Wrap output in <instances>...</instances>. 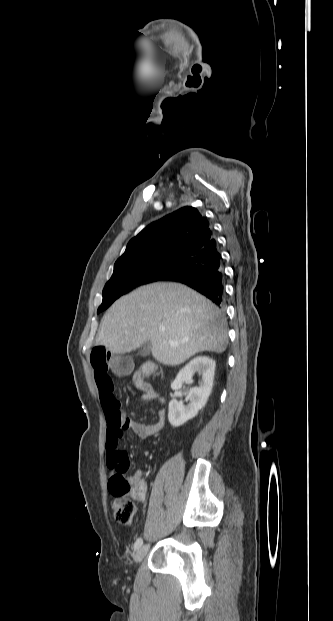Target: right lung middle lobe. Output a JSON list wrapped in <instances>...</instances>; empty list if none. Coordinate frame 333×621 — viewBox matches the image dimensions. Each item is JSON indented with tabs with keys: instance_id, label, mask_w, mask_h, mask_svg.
<instances>
[{
	"instance_id": "right-lung-middle-lobe-1",
	"label": "right lung middle lobe",
	"mask_w": 333,
	"mask_h": 621,
	"mask_svg": "<svg viewBox=\"0 0 333 621\" xmlns=\"http://www.w3.org/2000/svg\"><path fill=\"white\" fill-rule=\"evenodd\" d=\"M185 258L159 257L115 263L111 279L103 289V301L97 313L107 309L117 298L137 286L161 281L174 273Z\"/></svg>"
}]
</instances>
